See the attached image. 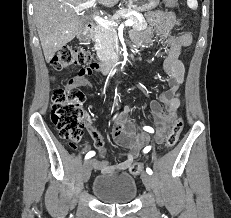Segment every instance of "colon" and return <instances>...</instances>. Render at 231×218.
<instances>
[{
	"label": "colon",
	"mask_w": 231,
	"mask_h": 218,
	"mask_svg": "<svg viewBox=\"0 0 231 218\" xmlns=\"http://www.w3.org/2000/svg\"><path fill=\"white\" fill-rule=\"evenodd\" d=\"M165 3L168 7H176L178 0H165ZM90 63H95V57L90 52L75 46L65 45L54 54L49 65L52 70L60 71L76 66H88ZM84 101V93L71 82L66 86L56 87L52 95V122L60 137L71 145L81 139L83 128L87 123V114L83 108ZM183 126L182 118L175 120L165 141L166 149L176 145ZM143 167L142 162H133L129 166V171L133 175H138L143 172Z\"/></svg>",
	"instance_id": "colon-1"
}]
</instances>
